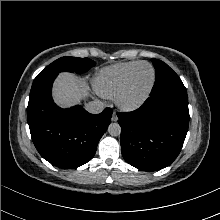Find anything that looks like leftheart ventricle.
I'll use <instances>...</instances> for the list:
<instances>
[{
	"label": "left heart ventricle",
	"instance_id": "1",
	"mask_svg": "<svg viewBox=\"0 0 220 220\" xmlns=\"http://www.w3.org/2000/svg\"><path fill=\"white\" fill-rule=\"evenodd\" d=\"M151 77L152 72L150 67L147 65L140 66L133 76L129 98H138L148 87Z\"/></svg>",
	"mask_w": 220,
	"mask_h": 220
}]
</instances>
